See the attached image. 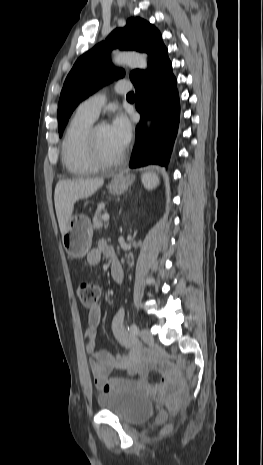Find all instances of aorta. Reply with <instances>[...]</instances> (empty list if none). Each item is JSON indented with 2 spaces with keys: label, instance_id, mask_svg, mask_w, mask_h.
Instances as JSON below:
<instances>
[{
  "label": "aorta",
  "instance_id": "1",
  "mask_svg": "<svg viewBox=\"0 0 263 465\" xmlns=\"http://www.w3.org/2000/svg\"><path fill=\"white\" fill-rule=\"evenodd\" d=\"M112 60L115 65H126L131 68L147 69L148 66L146 56L137 52H116ZM150 125L151 122L148 121V128Z\"/></svg>",
  "mask_w": 263,
  "mask_h": 465
}]
</instances>
